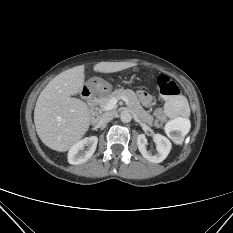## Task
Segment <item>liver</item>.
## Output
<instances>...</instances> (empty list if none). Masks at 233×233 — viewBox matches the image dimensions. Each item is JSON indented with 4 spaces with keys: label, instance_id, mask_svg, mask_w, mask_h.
Returning a JSON list of instances; mask_svg holds the SVG:
<instances>
[{
    "label": "liver",
    "instance_id": "obj_1",
    "mask_svg": "<svg viewBox=\"0 0 233 233\" xmlns=\"http://www.w3.org/2000/svg\"><path fill=\"white\" fill-rule=\"evenodd\" d=\"M136 65L131 62H99L93 70L114 73ZM84 69V65H79L55 76L37 99L34 109L36 131L41 141L52 150H69L89 129V107L84 101L72 97L83 88Z\"/></svg>",
    "mask_w": 233,
    "mask_h": 233
}]
</instances>
